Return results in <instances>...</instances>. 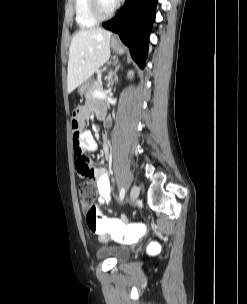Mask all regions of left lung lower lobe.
Wrapping results in <instances>:
<instances>
[{"label": "left lung lower lobe", "mask_w": 247, "mask_h": 304, "mask_svg": "<svg viewBox=\"0 0 247 304\" xmlns=\"http://www.w3.org/2000/svg\"><path fill=\"white\" fill-rule=\"evenodd\" d=\"M157 2L158 0H127L123 9L103 24L105 29L119 34L141 68H144L148 54L149 35Z\"/></svg>", "instance_id": "left-lung-lower-lobe-1"}]
</instances>
